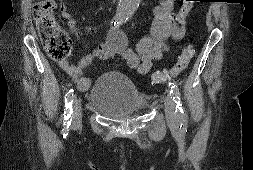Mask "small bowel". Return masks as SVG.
<instances>
[{
  "label": "small bowel",
  "mask_w": 253,
  "mask_h": 170,
  "mask_svg": "<svg viewBox=\"0 0 253 170\" xmlns=\"http://www.w3.org/2000/svg\"><path fill=\"white\" fill-rule=\"evenodd\" d=\"M174 2L175 0H161L160 5L154 9L150 33L141 39L135 51L129 48H118L111 43L100 42L77 64L61 60L58 65L75 81L81 91L87 90L90 86V80L83 76L84 70L96 58L106 59L115 53H119L129 67L138 74L147 75L152 68L153 61L163 59L164 52L167 50L166 40H180L184 35L186 22L179 13L174 12ZM60 12L61 16L67 20L70 32L79 37L81 31L66 3H61ZM88 31L93 32L94 29L89 27Z\"/></svg>",
  "instance_id": "small-bowel-1"
}]
</instances>
